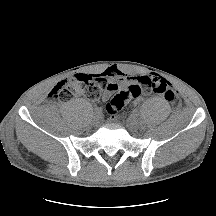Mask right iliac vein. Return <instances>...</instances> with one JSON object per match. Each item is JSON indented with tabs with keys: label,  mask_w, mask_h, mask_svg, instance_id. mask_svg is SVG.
I'll use <instances>...</instances> for the list:
<instances>
[{
	"label": "right iliac vein",
	"mask_w": 216,
	"mask_h": 216,
	"mask_svg": "<svg viewBox=\"0 0 216 216\" xmlns=\"http://www.w3.org/2000/svg\"><path fill=\"white\" fill-rule=\"evenodd\" d=\"M99 122H100V116H99V115H94V116L92 117V124H93V125H98Z\"/></svg>",
	"instance_id": "right-iliac-vein-1"
}]
</instances>
